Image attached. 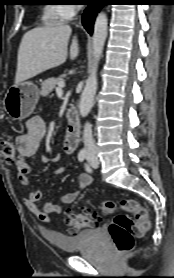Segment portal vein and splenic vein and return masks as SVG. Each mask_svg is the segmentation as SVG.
Segmentation results:
<instances>
[{
    "instance_id": "1",
    "label": "portal vein and splenic vein",
    "mask_w": 174,
    "mask_h": 278,
    "mask_svg": "<svg viewBox=\"0 0 174 278\" xmlns=\"http://www.w3.org/2000/svg\"><path fill=\"white\" fill-rule=\"evenodd\" d=\"M64 87H65V83L63 81H61V82H59L58 87L56 88V91H59Z\"/></svg>"
}]
</instances>
